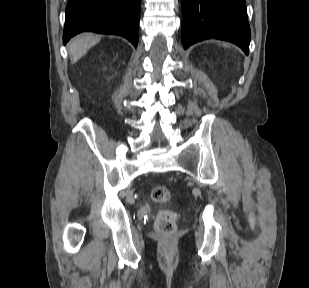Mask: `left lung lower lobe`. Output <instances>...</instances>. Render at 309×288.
Returning a JSON list of instances; mask_svg holds the SVG:
<instances>
[{
    "label": "left lung lower lobe",
    "mask_w": 309,
    "mask_h": 288,
    "mask_svg": "<svg viewBox=\"0 0 309 288\" xmlns=\"http://www.w3.org/2000/svg\"><path fill=\"white\" fill-rule=\"evenodd\" d=\"M183 47L209 38L227 40L249 52L245 0H181Z\"/></svg>",
    "instance_id": "left-lung-lower-lobe-1"
}]
</instances>
